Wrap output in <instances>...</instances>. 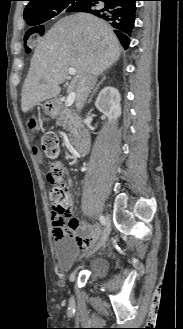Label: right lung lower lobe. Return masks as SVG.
I'll return each mask as SVG.
<instances>
[{
    "mask_svg": "<svg viewBox=\"0 0 183 329\" xmlns=\"http://www.w3.org/2000/svg\"><path fill=\"white\" fill-rule=\"evenodd\" d=\"M137 0H83L74 12L93 14L106 20L112 27L124 48L130 42L134 27ZM33 33V31L31 32Z\"/></svg>",
    "mask_w": 183,
    "mask_h": 329,
    "instance_id": "obj_1",
    "label": "right lung lower lobe"
}]
</instances>
